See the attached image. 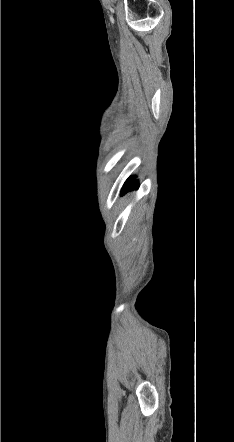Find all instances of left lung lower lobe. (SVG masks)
<instances>
[{"instance_id":"obj_1","label":"left lung lower lobe","mask_w":234,"mask_h":442,"mask_svg":"<svg viewBox=\"0 0 234 442\" xmlns=\"http://www.w3.org/2000/svg\"><path fill=\"white\" fill-rule=\"evenodd\" d=\"M133 177L129 178L127 181H131ZM139 186L138 180H133L129 183H125V186L122 188L121 193H125L128 190L134 189Z\"/></svg>"}]
</instances>
